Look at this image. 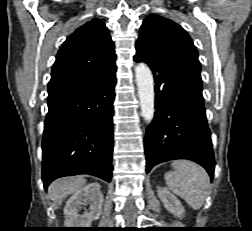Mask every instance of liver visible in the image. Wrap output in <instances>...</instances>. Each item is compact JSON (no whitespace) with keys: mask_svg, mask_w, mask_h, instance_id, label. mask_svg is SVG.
Masks as SVG:
<instances>
[{"mask_svg":"<svg viewBox=\"0 0 252 231\" xmlns=\"http://www.w3.org/2000/svg\"><path fill=\"white\" fill-rule=\"evenodd\" d=\"M85 184L86 180L80 176L60 178L49 186V198L54 202L56 207H59L67 196L78 191Z\"/></svg>","mask_w":252,"mask_h":231,"instance_id":"1","label":"liver"}]
</instances>
